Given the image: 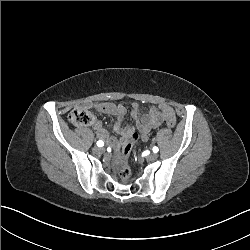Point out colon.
<instances>
[{
	"mask_svg": "<svg viewBox=\"0 0 250 250\" xmlns=\"http://www.w3.org/2000/svg\"><path fill=\"white\" fill-rule=\"evenodd\" d=\"M68 120L69 122L74 125V126H78V127H86L89 126L93 123L94 121V117L93 115L86 109L83 108H74L72 109V111L69 113L68 115ZM166 126L167 127H174L175 126V121L174 120H167L166 121ZM131 146L130 145H125L122 148V153H121V165H122V169L120 171V177H119V182L123 185V186H129L132 183V178L130 177V175L133 173V171L131 170V166L128 165V159H129V154L131 152Z\"/></svg>",
	"mask_w": 250,
	"mask_h": 250,
	"instance_id": "1",
	"label": "colon"
}]
</instances>
